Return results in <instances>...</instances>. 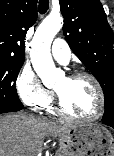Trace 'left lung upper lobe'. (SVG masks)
<instances>
[{
	"mask_svg": "<svg viewBox=\"0 0 114 156\" xmlns=\"http://www.w3.org/2000/svg\"><path fill=\"white\" fill-rule=\"evenodd\" d=\"M65 39L102 86V122L114 123V34L99 0H59Z\"/></svg>",
	"mask_w": 114,
	"mask_h": 156,
	"instance_id": "left-lung-upper-lobe-1",
	"label": "left lung upper lobe"
}]
</instances>
